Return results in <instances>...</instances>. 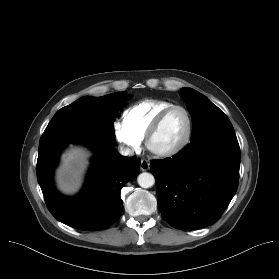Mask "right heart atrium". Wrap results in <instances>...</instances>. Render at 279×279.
<instances>
[{
	"mask_svg": "<svg viewBox=\"0 0 279 279\" xmlns=\"http://www.w3.org/2000/svg\"><path fill=\"white\" fill-rule=\"evenodd\" d=\"M114 135L116 140L129 152H136L141 148L142 140L121 122L114 124Z\"/></svg>",
	"mask_w": 279,
	"mask_h": 279,
	"instance_id": "d8ad5b80",
	"label": "right heart atrium"
}]
</instances>
